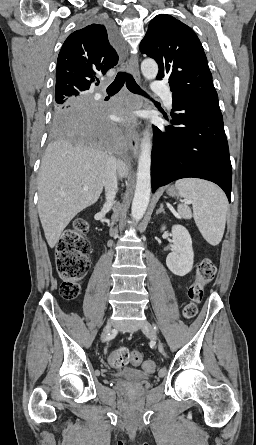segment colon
<instances>
[{
    "label": "colon",
    "mask_w": 256,
    "mask_h": 445,
    "mask_svg": "<svg viewBox=\"0 0 256 445\" xmlns=\"http://www.w3.org/2000/svg\"><path fill=\"white\" fill-rule=\"evenodd\" d=\"M88 224L84 218L74 220L72 226L66 229L56 246V267L59 277L62 279L60 294L67 300H74L80 293V280L89 268L88 253L90 243L85 238ZM216 276V267L209 258H204L198 264L196 279L188 288L189 302L183 310L186 319H192L197 313L196 305L201 301L205 287L210 284ZM139 365L142 362L140 352L130 351L121 347L109 354L108 363L114 368H122L129 362ZM147 373H153L156 364L147 360L143 364Z\"/></svg>",
    "instance_id": "obj_1"
}]
</instances>
